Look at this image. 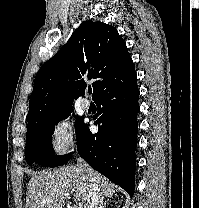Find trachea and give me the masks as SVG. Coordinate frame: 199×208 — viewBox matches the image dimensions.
Returning a JSON list of instances; mask_svg holds the SVG:
<instances>
[{
	"label": "trachea",
	"mask_w": 199,
	"mask_h": 208,
	"mask_svg": "<svg viewBox=\"0 0 199 208\" xmlns=\"http://www.w3.org/2000/svg\"><path fill=\"white\" fill-rule=\"evenodd\" d=\"M92 92V90H89V93H91Z\"/></svg>",
	"instance_id": "trachea-1"
}]
</instances>
